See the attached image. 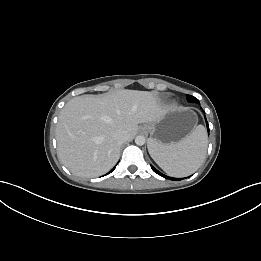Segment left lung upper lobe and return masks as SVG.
Instances as JSON below:
<instances>
[{
  "label": "left lung upper lobe",
  "mask_w": 261,
  "mask_h": 261,
  "mask_svg": "<svg viewBox=\"0 0 261 261\" xmlns=\"http://www.w3.org/2000/svg\"><path fill=\"white\" fill-rule=\"evenodd\" d=\"M186 98H187V100H188L189 102L199 103L198 99L195 98L194 96L187 95Z\"/></svg>",
  "instance_id": "obj_1"
}]
</instances>
